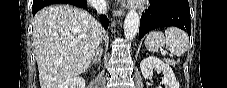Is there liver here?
Listing matches in <instances>:
<instances>
[{
  "label": "liver",
  "instance_id": "1",
  "mask_svg": "<svg viewBox=\"0 0 227 88\" xmlns=\"http://www.w3.org/2000/svg\"><path fill=\"white\" fill-rule=\"evenodd\" d=\"M32 25L41 88H57L84 73L102 41L99 22L72 5L44 7Z\"/></svg>",
  "mask_w": 227,
  "mask_h": 88
}]
</instances>
